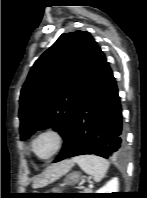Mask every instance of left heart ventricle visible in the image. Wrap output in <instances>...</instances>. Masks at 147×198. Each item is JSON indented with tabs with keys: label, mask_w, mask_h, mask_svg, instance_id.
I'll return each mask as SVG.
<instances>
[{
	"label": "left heart ventricle",
	"mask_w": 147,
	"mask_h": 198,
	"mask_svg": "<svg viewBox=\"0 0 147 198\" xmlns=\"http://www.w3.org/2000/svg\"><path fill=\"white\" fill-rule=\"evenodd\" d=\"M54 146H55V141L53 137L43 136L37 140L35 144V151L39 156L45 157L53 151Z\"/></svg>",
	"instance_id": "obj_1"
}]
</instances>
